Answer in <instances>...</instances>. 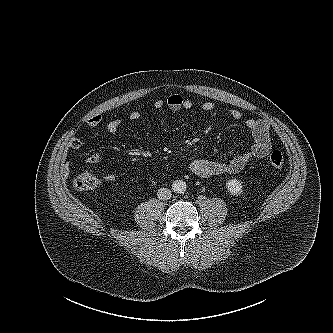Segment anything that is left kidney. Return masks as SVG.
I'll return each mask as SVG.
<instances>
[{
	"mask_svg": "<svg viewBox=\"0 0 333 333\" xmlns=\"http://www.w3.org/2000/svg\"><path fill=\"white\" fill-rule=\"evenodd\" d=\"M226 187L232 195H239L243 192L242 183L237 179L228 180L226 182Z\"/></svg>",
	"mask_w": 333,
	"mask_h": 333,
	"instance_id": "obj_1",
	"label": "left kidney"
}]
</instances>
